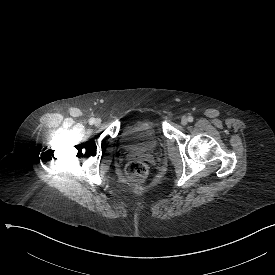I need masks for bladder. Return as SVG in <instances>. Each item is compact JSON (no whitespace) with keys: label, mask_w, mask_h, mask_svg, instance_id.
<instances>
[{"label":"bladder","mask_w":275,"mask_h":275,"mask_svg":"<svg viewBox=\"0 0 275 275\" xmlns=\"http://www.w3.org/2000/svg\"><path fill=\"white\" fill-rule=\"evenodd\" d=\"M117 141L121 151L144 155L158 148L161 136L154 120L138 118L122 128Z\"/></svg>","instance_id":"bladder-1"}]
</instances>
